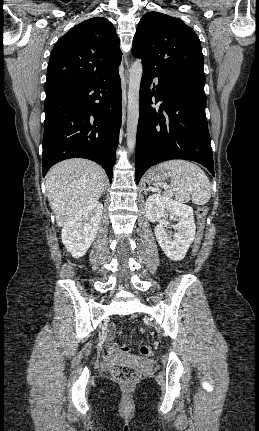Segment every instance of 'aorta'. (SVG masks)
<instances>
[{"instance_id": "obj_1", "label": "aorta", "mask_w": 259, "mask_h": 431, "mask_svg": "<svg viewBox=\"0 0 259 431\" xmlns=\"http://www.w3.org/2000/svg\"><path fill=\"white\" fill-rule=\"evenodd\" d=\"M142 72L141 61L134 62L129 71L127 108V147L129 151H133L136 144V132L139 119V89Z\"/></svg>"}]
</instances>
